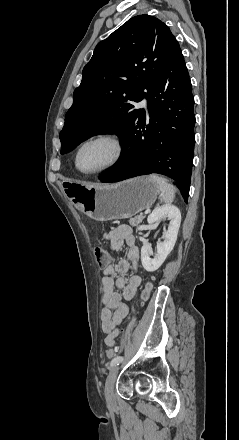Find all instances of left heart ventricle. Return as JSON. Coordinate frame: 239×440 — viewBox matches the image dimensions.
Instances as JSON below:
<instances>
[{
	"label": "left heart ventricle",
	"instance_id": "obj_1",
	"mask_svg": "<svg viewBox=\"0 0 239 440\" xmlns=\"http://www.w3.org/2000/svg\"><path fill=\"white\" fill-rule=\"evenodd\" d=\"M114 155L112 144L105 140L87 144L80 152L79 167L82 171H94L108 164Z\"/></svg>",
	"mask_w": 239,
	"mask_h": 440
}]
</instances>
